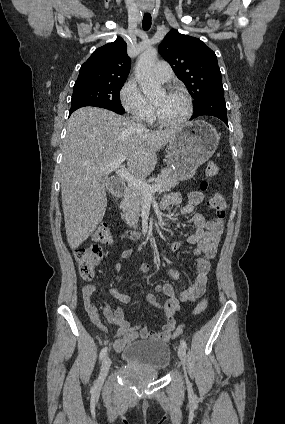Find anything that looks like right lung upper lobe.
<instances>
[{
	"label": "right lung upper lobe",
	"mask_w": 285,
	"mask_h": 424,
	"mask_svg": "<svg viewBox=\"0 0 285 424\" xmlns=\"http://www.w3.org/2000/svg\"><path fill=\"white\" fill-rule=\"evenodd\" d=\"M130 71L126 42L118 37L114 42L96 49L81 66L75 85L87 83L125 82Z\"/></svg>",
	"instance_id": "right-lung-upper-lobe-1"
}]
</instances>
